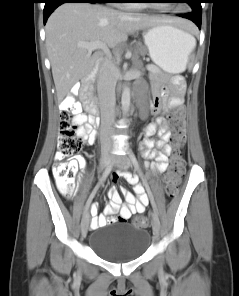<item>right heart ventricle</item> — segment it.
Here are the masks:
<instances>
[{"instance_id":"e07e8e85","label":"right heart ventricle","mask_w":239,"mask_h":296,"mask_svg":"<svg viewBox=\"0 0 239 296\" xmlns=\"http://www.w3.org/2000/svg\"><path fill=\"white\" fill-rule=\"evenodd\" d=\"M121 7H130V4L123 2L120 4Z\"/></svg>"}]
</instances>
